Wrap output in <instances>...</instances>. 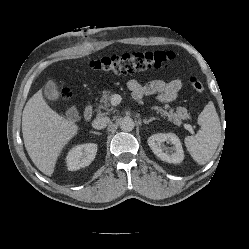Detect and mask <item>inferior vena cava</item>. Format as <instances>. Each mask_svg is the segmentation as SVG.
<instances>
[{
    "label": "inferior vena cava",
    "instance_id": "602c4592",
    "mask_svg": "<svg viewBox=\"0 0 249 249\" xmlns=\"http://www.w3.org/2000/svg\"><path fill=\"white\" fill-rule=\"evenodd\" d=\"M109 121H110L109 117H97L92 122V127L95 129H104L109 123Z\"/></svg>",
    "mask_w": 249,
    "mask_h": 249
}]
</instances>
